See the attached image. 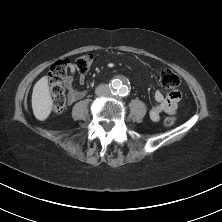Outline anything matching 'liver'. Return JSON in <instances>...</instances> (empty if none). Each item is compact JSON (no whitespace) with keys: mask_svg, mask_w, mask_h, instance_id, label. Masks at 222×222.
I'll return each mask as SVG.
<instances>
[{"mask_svg":"<svg viewBox=\"0 0 222 222\" xmlns=\"http://www.w3.org/2000/svg\"><path fill=\"white\" fill-rule=\"evenodd\" d=\"M53 101L50 95L47 76L39 79L33 87L32 109L34 116L44 121L52 111Z\"/></svg>","mask_w":222,"mask_h":222,"instance_id":"1","label":"liver"}]
</instances>
